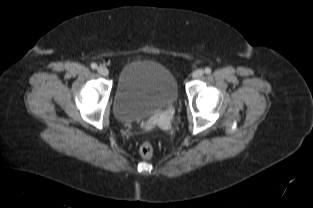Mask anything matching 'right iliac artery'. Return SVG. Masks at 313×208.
<instances>
[{
	"label": "right iliac artery",
	"instance_id": "obj_1",
	"mask_svg": "<svg viewBox=\"0 0 313 208\" xmlns=\"http://www.w3.org/2000/svg\"><path fill=\"white\" fill-rule=\"evenodd\" d=\"M97 67H98V66H97L96 63H91V68H92V69H97Z\"/></svg>",
	"mask_w": 313,
	"mask_h": 208
}]
</instances>
